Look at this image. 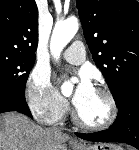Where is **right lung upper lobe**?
<instances>
[{
    "label": "right lung upper lobe",
    "mask_w": 139,
    "mask_h": 150,
    "mask_svg": "<svg viewBox=\"0 0 139 150\" xmlns=\"http://www.w3.org/2000/svg\"><path fill=\"white\" fill-rule=\"evenodd\" d=\"M37 44L35 0H0V50L36 57Z\"/></svg>",
    "instance_id": "1"
}]
</instances>
